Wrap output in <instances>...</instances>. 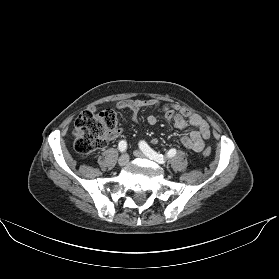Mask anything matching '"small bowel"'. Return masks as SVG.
<instances>
[{
    "label": "small bowel",
    "instance_id": "c3829d8e",
    "mask_svg": "<svg viewBox=\"0 0 279 279\" xmlns=\"http://www.w3.org/2000/svg\"><path fill=\"white\" fill-rule=\"evenodd\" d=\"M149 106L160 107L159 101L155 99L147 100H122L117 103V107L120 109H129L133 112L132 120L134 122L138 121V112ZM164 117L167 122H172L176 128L185 129L191 126L193 129L188 135H183L181 137V143L184 147L195 152H201L206 141L210 137V130L208 123L199 115L185 109L180 108L174 103L166 104L162 107ZM157 117L150 115L147 118L149 125H155L157 123ZM120 130L111 133V137H116L120 134ZM156 142V140H154Z\"/></svg>",
    "mask_w": 279,
    "mask_h": 279
}]
</instances>
